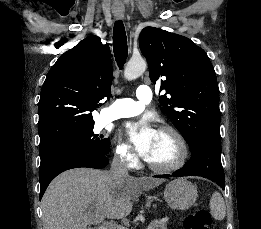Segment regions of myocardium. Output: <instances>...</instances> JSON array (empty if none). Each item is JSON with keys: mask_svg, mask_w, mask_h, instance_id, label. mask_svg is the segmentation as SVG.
Masks as SVG:
<instances>
[{"mask_svg": "<svg viewBox=\"0 0 261 229\" xmlns=\"http://www.w3.org/2000/svg\"><path fill=\"white\" fill-rule=\"evenodd\" d=\"M157 132L166 133L172 137L177 148V156L174 161L165 165H157L146 159L145 162L147 166L156 172H172L179 170L185 165L188 157V148L185 139L178 130L169 125L160 126Z\"/></svg>", "mask_w": 261, "mask_h": 229, "instance_id": "1", "label": "myocardium"}]
</instances>
